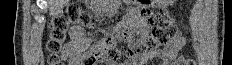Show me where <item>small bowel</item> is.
Returning a JSON list of instances; mask_svg holds the SVG:
<instances>
[{
	"instance_id": "c3829d8e",
	"label": "small bowel",
	"mask_w": 232,
	"mask_h": 65,
	"mask_svg": "<svg viewBox=\"0 0 232 65\" xmlns=\"http://www.w3.org/2000/svg\"><path fill=\"white\" fill-rule=\"evenodd\" d=\"M119 17H139V23H126L128 32H105V37H114L115 40H125L127 47H135L145 34H148L149 28H153V12H119ZM113 30V27H110ZM71 41L65 46L64 56L68 60V65H81L80 53L85 50L91 39L85 35L83 28L74 27L70 30ZM186 44V37L177 32L173 38L164 46L163 49L152 51L146 54L135 55L129 61L122 65H143L150 60L158 59L162 65H192L194 61L179 55L181 49ZM107 65H118L108 61Z\"/></svg>"
}]
</instances>
